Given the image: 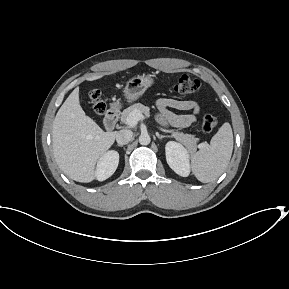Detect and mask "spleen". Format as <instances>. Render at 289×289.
Segmentation results:
<instances>
[{
    "label": "spleen",
    "mask_w": 289,
    "mask_h": 289,
    "mask_svg": "<svg viewBox=\"0 0 289 289\" xmlns=\"http://www.w3.org/2000/svg\"><path fill=\"white\" fill-rule=\"evenodd\" d=\"M232 151L233 132L231 125L226 122L212 137L209 145L192 155L193 174L203 183L216 180L228 166Z\"/></svg>",
    "instance_id": "obj_1"
}]
</instances>
